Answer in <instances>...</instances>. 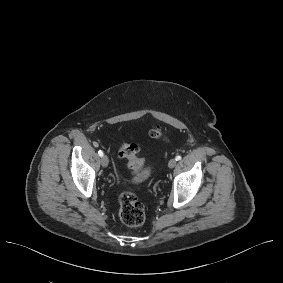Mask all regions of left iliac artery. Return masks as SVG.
<instances>
[{
  "label": "left iliac artery",
  "mask_w": 283,
  "mask_h": 283,
  "mask_svg": "<svg viewBox=\"0 0 283 283\" xmlns=\"http://www.w3.org/2000/svg\"><path fill=\"white\" fill-rule=\"evenodd\" d=\"M179 160H181V156L180 155L176 156V161H179Z\"/></svg>",
  "instance_id": "obj_1"
}]
</instances>
